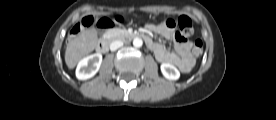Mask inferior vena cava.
Returning <instances> with one entry per match:
<instances>
[{"label":"inferior vena cava","mask_w":276,"mask_h":120,"mask_svg":"<svg viewBox=\"0 0 276 120\" xmlns=\"http://www.w3.org/2000/svg\"><path fill=\"white\" fill-rule=\"evenodd\" d=\"M123 46V42L122 41H114L113 43H111L110 45V50L111 51H116L118 48Z\"/></svg>","instance_id":"obj_1"}]
</instances>
